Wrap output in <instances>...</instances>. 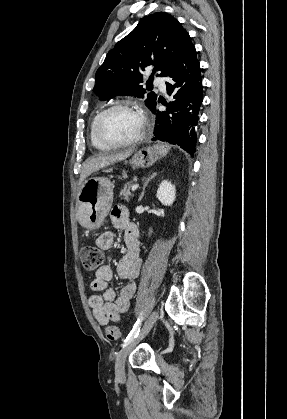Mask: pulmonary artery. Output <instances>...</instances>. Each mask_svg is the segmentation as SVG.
<instances>
[{
    "mask_svg": "<svg viewBox=\"0 0 287 419\" xmlns=\"http://www.w3.org/2000/svg\"><path fill=\"white\" fill-rule=\"evenodd\" d=\"M154 84H155L156 86H158V87H159V89H160L162 92H165V90H166V84H165V82H164V80H163L162 78H160V77H155V79H154Z\"/></svg>",
    "mask_w": 287,
    "mask_h": 419,
    "instance_id": "obj_1",
    "label": "pulmonary artery"
}]
</instances>
